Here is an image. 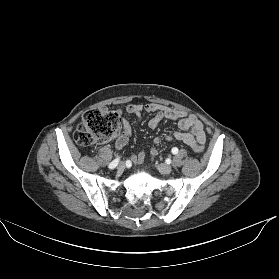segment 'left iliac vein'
Listing matches in <instances>:
<instances>
[{
	"label": "left iliac vein",
	"instance_id": "left-iliac-vein-1",
	"mask_svg": "<svg viewBox=\"0 0 279 279\" xmlns=\"http://www.w3.org/2000/svg\"><path fill=\"white\" fill-rule=\"evenodd\" d=\"M157 169L163 174H169L172 172V167L164 163L157 164Z\"/></svg>",
	"mask_w": 279,
	"mask_h": 279
}]
</instances>
